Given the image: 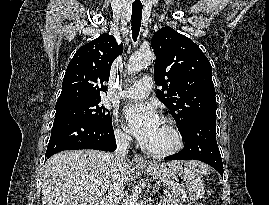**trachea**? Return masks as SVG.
I'll list each match as a JSON object with an SVG mask.
<instances>
[{
  "instance_id": "trachea-1",
  "label": "trachea",
  "mask_w": 269,
  "mask_h": 205,
  "mask_svg": "<svg viewBox=\"0 0 269 205\" xmlns=\"http://www.w3.org/2000/svg\"><path fill=\"white\" fill-rule=\"evenodd\" d=\"M142 20V6H132V38L134 41L137 40V37L140 32Z\"/></svg>"
}]
</instances>
